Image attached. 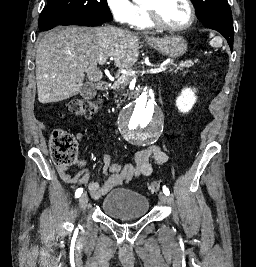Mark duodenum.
Masks as SVG:
<instances>
[{"label":"duodenum","mask_w":256,"mask_h":267,"mask_svg":"<svg viewBox=\"0 0 256 267\" xmlns=\"http://www.w3.org/2000/svg\"><path fill=\"white\" fill-rule=\"evenodd\" d=\"M108 88V81L107 80H101L100 83H99V89L101 91H105L106 89ZM132 97H129V100H132L133 99H140L141 98V93H142V90L141 89H133L132 90Z\"/></svg>","instance_id":"410a0bca"}]
</instances>
